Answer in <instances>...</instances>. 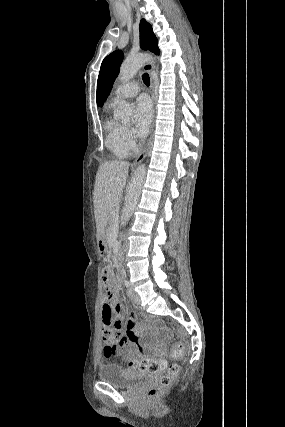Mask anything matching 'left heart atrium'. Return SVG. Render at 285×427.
<instances>
[{"label": "left heart atrium", "instance_id": "left-heart-atrium-1", "mask_svg": "<svg viewBox=\"0 0 285 427\" xmlns=\"http://www.w3.org/2000/svg\"><path fill=\"white\" fill-rule=\"evenodd\" d=\"M152 106L146 97H140L135 103V126L139 136H145L152 121Z\"/></svg>", "mask_w": 285, "mask_h": 427}]
</instances>
